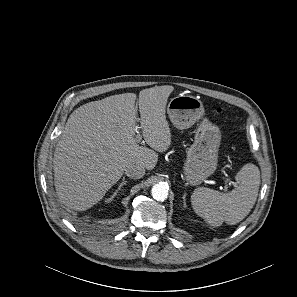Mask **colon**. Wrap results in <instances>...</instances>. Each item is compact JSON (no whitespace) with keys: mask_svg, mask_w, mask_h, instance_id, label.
<instances>
[{"mask_svg":"<svg viewBox=\"0 0 297 297\" xmlns=\"http://www.w3.org/2000/svg\"><path fill=\"white\" fill-rule=\"evenodd\" d=\"M213 111L216 112V113H220L221 109L220 108H214Z\"/></svg>","mask_w":297,"mask_h":297,"instance_id":"obj_1","label":"colon"}]
</instances>
